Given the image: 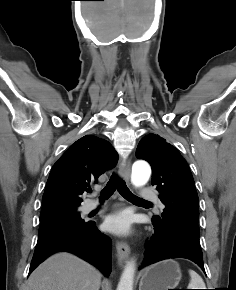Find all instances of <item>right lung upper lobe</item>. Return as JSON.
Listing matches in <instances>:
<instances>
[{"label":"right lung upper lobe","mask_w":236,"mask_h":290,"mask_svg":"<svg viewBox=\"0 0 236 290\" xmlns=\"http://www.w3.org/2000/svg\"><path fill=\"white\" fill-rule=\"evenodd\" d=\"M117 161V152L106 140L93 135L77 140L54 164L43 194L41 212L77 208L87 186L96 183Z\"/></svg>","instance_id":"right-lung-upper-lobe-1"}]
</instances>
